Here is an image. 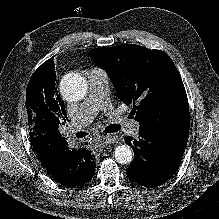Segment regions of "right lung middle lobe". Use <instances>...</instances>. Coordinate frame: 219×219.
I'll return each instance as SVG.
<instances>
[{"mask_svg": "<svg viewBox=\"0 0 219 219\" xmlns=\"http://www.w3.org/2000/svg\"><path fill=\"white\" fill-rule=\"evenodd\" d=\"M43 76V71H40L36 78L32 75L26 89L25 105L30 134L37 131H49L61 135L60 127L68 119L66 111L56 93L45 88Z\"/></svg>", "mask_w": 219, "mask_h": 219, "instance_id": "dd1d6c3e", "label": "right lung middle lobe"}]
</instances>
